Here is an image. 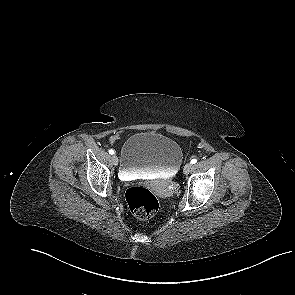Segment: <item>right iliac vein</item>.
Wrapping results in <instances>:
<instances>
[{
    "label": "right iliac vein",
    "instance_id": "obj_1",
    "mask_svg": "<svg viewBox=\"0 0 295 295\" xmlns=\"http://www.w3.org/2000/svg\"><path fill=\"white\" fill-rule=\"evenodd\" d=\"M112 163L113 165L117 166L118 165V157L116 155L112 156Z\"/></svg>",
    "mask_w": 295,
    "mask_h": 295
}]
</instances>
